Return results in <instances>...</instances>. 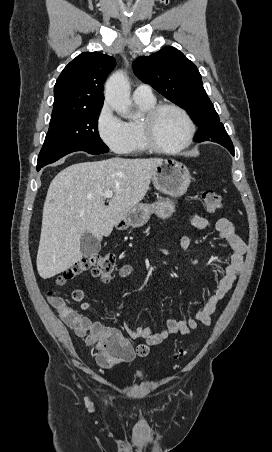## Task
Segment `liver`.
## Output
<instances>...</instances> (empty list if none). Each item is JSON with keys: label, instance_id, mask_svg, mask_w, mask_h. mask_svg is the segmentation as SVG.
<instances>
[{"label": "liver", "instance_id": "liver-1", "mask_svg": "<svg viewBox=\"0 0 272 452\" xmlns=\"http://www.w3.org/2000/svg\"><path fill=\"white\" fill-rule=\"evenodd\" d=\"M159 158L82 162L60 171L50 183L43 207L37 271L51 278L82 259L84 232L99 241L149 190ZM114 192L108 206L105 191Z\"/></svg>", "mask_w": 272, "mask_h": 452}]
</instances>
